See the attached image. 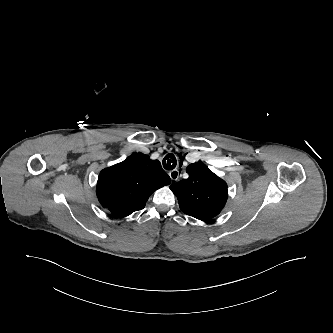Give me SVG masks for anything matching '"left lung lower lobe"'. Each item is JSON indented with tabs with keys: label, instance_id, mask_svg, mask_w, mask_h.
Returning a JSON list of instances; mask_svg holds the SVG:
<instances>
[{
	"label": "left lung lower lobe",
	"instance_id": "left-lung-lower-lobe-1",
	"mask_svg": "<svg viewBox=\"0 0 333 333\" xmlns=\"http://www.w3.org/2000/svg\"><path fill=\"white\" fill-rule=\"evenodd\" d=\"M188 215H190V216H193V217H195V218H197V219H200V220H208V219H211V218H213L214 216H216L217 214H213V213H208V214H206V213H197V212H191V213H189Z\"/></svg>",
	"mask_w": 333,
	"mask_h": 333
}]
</instances>
